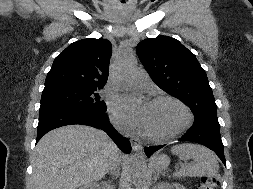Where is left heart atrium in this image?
I'll list each match as a JSON object with an SVG mask.
<instances>
[{"label":"left heart atrium","mask_w":253,"mask_h":189,"mask_svg":"<svg viewBox=\"0 0 253 189\" xmlns=\"http://www.w3.org/2000/svg\"><path fill=\"white\" fill-rule=\"evenodd\" d=\"M148 112L149 104L147 103H143L138 108H132L123 104H117L113 108V114L120 124L141 129L145 128Z\"/></svg>","instance_id":"39dd6f15"}]
</instances>
